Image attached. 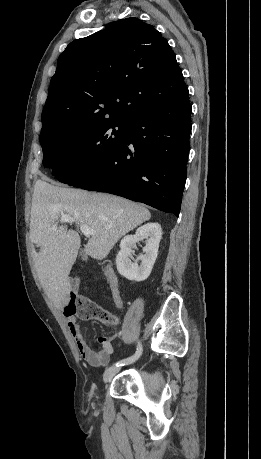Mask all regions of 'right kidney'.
Here are the masks:
<instances>
[{
  "label": "right kidney",
  "mask_w": 261,
  "mask_h": 459,
  "mask_svg": "<svg viewBox=\"0 0 261 459\" xmlns=\"http://www.w3.org/2000/svg\"><path fill=\"white\" fill-rule=\"evenodd\" d=\"M162 229L158 223H147L138 228L134 235L125 236L120 242V251L116 256V266L120 275L132 281H144L150 275L158 255ZM146 239L143 255L134 262L132 255L139 241ZM141 261L138 265V261Z\"/></svg>",
  "instance_id": "obj_1"
}]
</instances>
